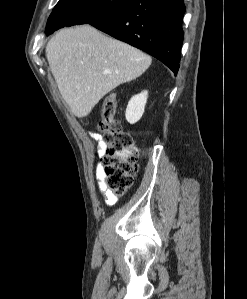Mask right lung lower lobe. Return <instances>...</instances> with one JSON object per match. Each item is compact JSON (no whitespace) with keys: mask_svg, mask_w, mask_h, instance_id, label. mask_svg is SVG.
Here are the masks:
<instances>
[{"mask_svg":"<svg viewBox=\"0 0 247 299\" xmlns=\"http://www.w3.org/2000/svg\"><path fill=\"white\" fill-rule=\"evenodd\" d=\"M183 0H131L89 24L156 57L175 74L183 42Z\"/></svg>","mask_w":247,"mask_h":299,"instance_id":"1","label":"right lung lower lobe"}]
</instances>
